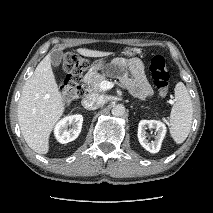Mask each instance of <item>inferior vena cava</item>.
Instances as JSON below:
<instances>
[{"label":"inferior vena cava","instance_id":"1","mask_svg":"<svg viewBox=\"0 0 213 213\" xmlns=\"http://www.w3.org/2000/svg\"><path fill=\"white\" fill-rule=\"evenodd\" d=\"M107 99L104 95L99 94H88L82 100V105L85 109L96 110L106 103Z\"/></svg>","mask_w":213,"mask_h":213}]
</instances>
